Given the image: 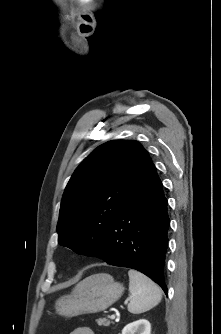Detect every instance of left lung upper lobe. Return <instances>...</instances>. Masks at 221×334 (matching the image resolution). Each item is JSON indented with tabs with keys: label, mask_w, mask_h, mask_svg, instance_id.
Listing matches in <instances>:
<instances>
[{
	"label": "left lung upper lobe",
	"mask_w": 221,
	"mask_h": 334,
	"mask_svg": "<svg viewBox=\"0 0 221 334\" xmlns=\"http://www.w3.org/2000/svg\"><path fill=\"white\" fill-rule=\"evenodd\" d=\"M152 164L137 141L113 140L97 147L66 186L57 224L59 244L100 257L114 217Z\"/></svg>",
	"instance_id": "5c2ea615"
}]
</instances>
